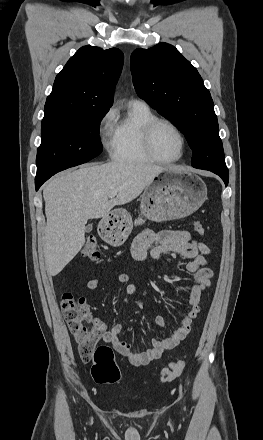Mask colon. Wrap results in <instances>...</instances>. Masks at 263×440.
Listing matches in <instances>:
<instances>
[{"mask_svg":"<svg viewBox=\"0 0 263 440\" xmlns=\"http://www.w3.org/2000/svg\"><path fill=\"white\" fill-rule=\"evenodd\" d=\"M194 227L197 233L204 235L205 228L202 223L196 222ZM82 253L93 261L100 257V251L94 239L86 241ZM60 304L63 316L77 342L79 358L83 361L92 360L93 362L91 369L93 379L98 383L119 381L121 375L115 364L112 349L104 345L97 346L99 332L94 326V318L86 300L67 292L62 295ZM184 366L183 359L172 362L162 371L160 381L164 384L169 383L182 372Z\"/></svg>","mask_w":263,"mask_h":440,"instance_id":"colon-1","label":"colon"}]
</instances>
